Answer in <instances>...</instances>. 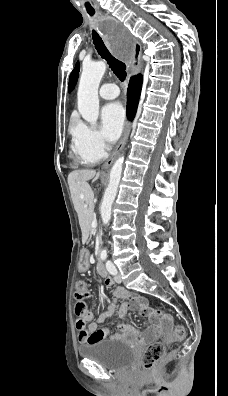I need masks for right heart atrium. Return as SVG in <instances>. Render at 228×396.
Here are the masks:
<instances>
[{
    "label": "right heart atrium",
    "instance_id": "1",
    "mask_svg": "<svg viewBox=\"0 0 228 396\" xmlns=\"http://www.w3.org/2000/svg\"><path fill=\"white\" fill-rule=\"evenodd\" d=\"M74 138L80 150L85 154L97 160L105 155L108 146L97 129L85 123H78L74 129Z\"/></svg>",
    "mask_w": 228,
    "mask_h": 396
}]
</instances>
